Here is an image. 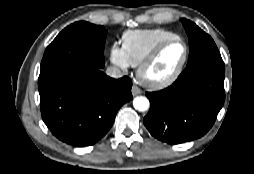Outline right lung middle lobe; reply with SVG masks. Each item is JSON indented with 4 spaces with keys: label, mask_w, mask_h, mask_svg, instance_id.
<instances>
[{
    "label": "right lung middle lobe",
    "mask_w": 254,
    "mask_h": 174,
    "mask_svg": "<svg viewBox=\"0 0 254 174\" xmlns=\"http://www.w3.org/2000/svg\"><path fill=\"white\" fill-rule=\"evenodd\" d=\"M106 33L103 26L86 21L67 26L46 48L38 83L70 69L102 68Z\"/></svg>",
    "instance_id": "obj_1"
}]
</instances>
